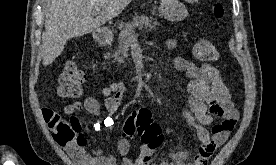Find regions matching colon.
<instances>
[{
    "label": "colon",
    "mask_w": 276,
    "mask_h": 165,
    "mask_svg": "<svg viewBox=\"0 0 276 165\" xmlns=\"http://www.w3.org/2000/svg\"><path fill=\"white\" fill-rule=\"evenodd\" d=\"M216 18H222L224 8L215 4L212 8ZM194 53L199 60L214 61L218 58L215 44L207 39L200 40L194 47ZM85 80L83 69L75 60L68 61L59 76L56 93L62 98H74L81 94L82 84ZM48 125L56 142L62 146L81 143V128L73 121H66L52 112L46 114ZM123 132L126 136L139 135L144 147L154 150L163 142L162 129L153 119L147 108L135 110L125 121Z\"/></svg>",
    "instance_id": "colon-1"
}]
</instances>
